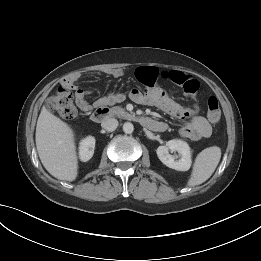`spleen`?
I'll list each match as a JSON object with an SVG mask.
<instances>
[{
    "label": "spleen",
    "instance_id": "1",
    "mask_svg": "<svg viewBox=\"0 0 261 261\" xmlns=\"http://www.w3.org/2000/svg\"><path fill=\"white\" fill-rule=\"evenodd\" d=\"M220 158L221 149L218 146L202 150L195 159L187 185L193 187L208 180L215 171Z\"/></svg>",
    "mask_w": 261,
    "mask_h": 261
}]
</instances>
